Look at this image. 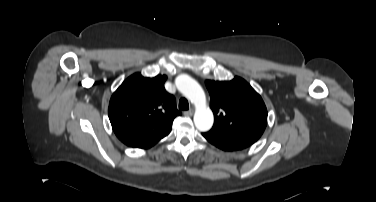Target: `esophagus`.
<instances>
[{
	"mask_svg": "<svg viewBox=\"0 0 376 202\" xmlns=\"http://www.w3.org/2000/svg\"><path fill=\"white\" fill-rule=\"evenodd\" d=\"M184 115H186V116H192L193 115V110L184 111Z\"/></svg>",
	"mask_w": 376,
	"mask_h": 202,
	"instance_id": "obj_1",
	"label": "esophagus"
}]
</instances>
